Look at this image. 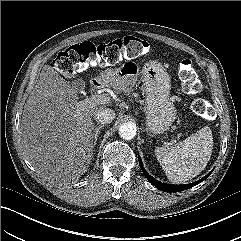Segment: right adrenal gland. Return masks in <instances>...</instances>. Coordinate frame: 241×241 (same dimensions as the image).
<instances>
[{
  "instance_id": "obj_1",
  "label": "right adrenal gland",
  "mask_w": 241,
  "mask_h": 241,
  "mask_svg": "<svg viewBox=\"0 0 241 241\" xmlns=\"http://www.w3.org/2000/svg\"><path fill=\"white\" fill-rule=\"evenodd\" d=\"M104 127V125H99L95 126L94 128V146L96 145L97 142V137L100 134V130Z\"/></svg>"
}]
</instances>
